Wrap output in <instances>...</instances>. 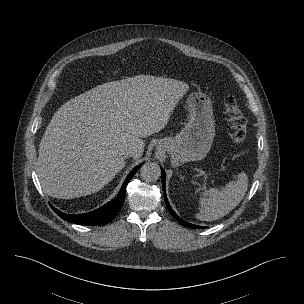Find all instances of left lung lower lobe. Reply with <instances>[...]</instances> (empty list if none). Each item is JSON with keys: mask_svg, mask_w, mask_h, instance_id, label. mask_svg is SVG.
<instances>
[{"mask_svg": "<svg viewBox=\"0 0 304 304\" xmlns=\"http://www.w3.org/2000/svg\"><path fill=\"white\" fill-rule=\"evenodd\" d=\"M161 175H162V187H163V192H164V199H165V203H166V206L169 210V212L171 213V215L183 226H186V227H189V228H194V229H198V228H204L202 226H197V225H193V224H190V223H187L186 221L182 220L174 211L173 209L171 208L169 202H168V199H167V196H166V192H165V178H166V175H165V171L163 169H161Z\"/></svg>", "mask_w": 304, "mask_h": 304, "instance_id": "left-lung-lower-lobe-1", "label": "left lung lower lobe"}]
</instances>
